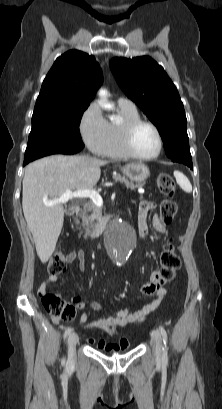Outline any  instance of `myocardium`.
<instances>
[{"label":"myocardium","instance_id":"1","mask_svg":"<svg viewBox=\"0 0 222 409\" xmlns=\"http://www.w3.org/2000/svg\"><path fill=\"white\" fill-rule=\"evenodd\" d=\"M142 125L150 126L156 132L157 137H158V149L154 154L149 155V156L139 155L138 153H136L132 145V138H133L134 132L136 131L138 127ZM121 145H122L124 152L127 154L128 157L136 159V160H141V161H149V160H153L159 157V155L161 154L163 150L164 141H163L162 133L156 124H154L153 122L149 120L136 119V120L127 122L123 125L122 130H121Z\"/></svg>","mask_w":222,"mask_h":409}]
</instances>
